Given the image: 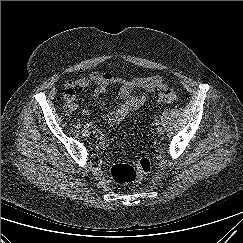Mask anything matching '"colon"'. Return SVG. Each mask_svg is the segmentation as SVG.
Instances as JSON below:
<instances>
[{
	"instance_id": "5ec220e1",
	"label": "colon",
	"mask_w": 243,
	"mask_h": 243,
	"mask_svg": "<svg viewBox=\"0 0 243 243\" xmlns=\"http://www.w3.org/2000/svg\"><path fill=\"white\" fill-rule=\"evenodd\" d=\"M177 100L178 95L168 88L161 90L158 96V101L161 103H173ZM151 168V162L148 158H141L136 161L134 165L126 162H120L111 167L110 176L111 179L117 184H131L139 182L151 171Z\"/></svg>"
}]
</instances>
